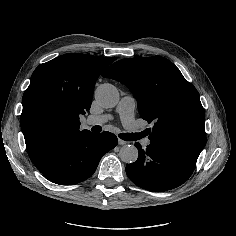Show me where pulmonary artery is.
Here are the masks:
<instances>
[{"label":"pulmonary artery","mask_w":236,"mask_h":236,"mask_svg":"<svg viewBox=\"0 0 236 236\" xmlns=\"http://www.w3.org/2000/svg\"><path fill=\"white\" fill-rule=\"evenodd\" d=\"M136 107V100L133 96H125L120 99L115 109L116 114L119 115L123 126L131 129L135 124L134 109ZM106 119L112 118L111 115L105 117ZM151 141L148 138L142 140L143 147H148Z\"/></svg>","instance_id":"1"}]
</instances>
